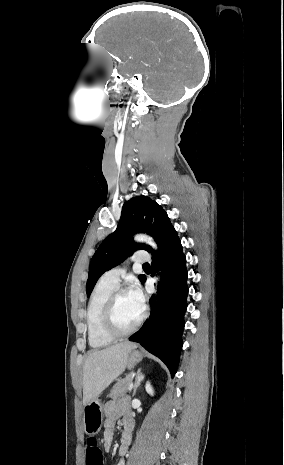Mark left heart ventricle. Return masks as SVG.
Listing matches in <instances>:
<instances>
[{"instance_id": "left-heart-ventricle-1", "label": "left heart ventricle", "mask_w": 284, "mask_h": 465, "mask_svg": "<svg viewBox=\"0 0 284 465\" xmlns=\"http://www.w3.org/2000/svg\"><path fill=\"white\" fill-rule=\"evenodd\" d=\"M142 312L139 311L130 300L128 294H123L118 298L116 307L115 326L119 333H125L131 330Z\"/></svg>"}]
</instances>
